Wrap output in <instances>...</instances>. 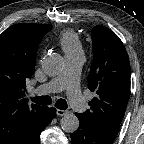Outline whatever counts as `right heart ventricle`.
<instances>
[{
  "instance_id": "right-heart-ventricle-1",
  "label": "right heart ventricle",
  "mask_w": 144,
  "mask_h": 144,
  "mask_svg": "<svg viewBox=\"0 0 144 144\" xmlns=\"http://www.w3.org/2000/svg\"><path fill=\"white\" fill-rule=\"evenodd\" d=\"M59 43L65 55L82 52V45L78 34L73 30L64 31L59 37Z\"/></svg>"
}]
</instances>
